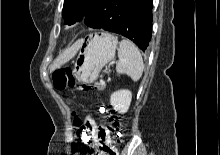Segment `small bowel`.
I'll return each mask as SVG.
<instances>
[{"instance_id": "obj_1", "label": "small bowel", "mask_w": 220, "mask_h": 155, "mask_svg": "<svg viewBox=\"0 0 220 155\" xmlns=\"http://www.w3.org/2000/svg\"><path fill=\"white\" fill-rule=\"evenodd\" d=\"M84 123L86 124V127L83 129H89V134H86V135H91V144H92L96 139L99 126L96 124V122L91 117H88ZM91 144H86V145L89 146Z\"/></svg>"}]
</instances>
